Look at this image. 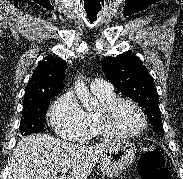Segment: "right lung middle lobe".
I'll return each instance as SVG.
<instances>
[{
    "label": "right lung middle lobe",
    "instance_id": "1",
    "mask_svg": "<svg viewBox=\"0 0 183 179\" xmlns=\"http://www.w3.org/2000/svg\"><path fill=\"white\" fill-rule=\"evenodd\" d=\"M51 98L46 97L32 103L24 104L19 131L21 136L44 131L43 123L45 122V114Z\"/></svg>",
    "mask_w": 183,
    "mask_h": 179
}]
</instances>
